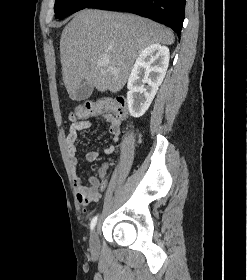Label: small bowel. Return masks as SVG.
I'll use <instances>...</instances> for the list:
<instances>
[{
    "label": "small bowel",
    "instance_id": "c3829d8e",
    "mask_svg": "<svg viewBox=\"0 0 247 280\" xmlns=\"http://www.w3.org/2000/svg\"><path fill=\"white\" fill-rule=\"evenodd\" d=\"M103 118L109 124L108 131L113 141V143L105 149V153L112 154L115 150V144L120 136L121 120L110 114L103 115ZM92 125V122L87 119L73 121L69 127V132L66 136L67 153L71 169L74 173L73 183L76 198L78 202L83 206H89L92 203L96 202L101 197V193L107 185V180L105 178L108 171L107 164H103L99 168L97 176H91L88 178L87 185L83 184L81 177L77 174L78 133L91 128ZM98 158L99 153L97 151H89L85 155V160L88 162H94L98 160Z\"/></svg>",
    "mask_w": 247,
    "mask_h": 280
}]
</instances>
